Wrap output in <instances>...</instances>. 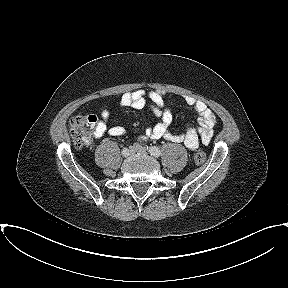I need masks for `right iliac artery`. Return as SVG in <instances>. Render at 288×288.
<instances>
[{
	"label": "right iliac artery",
	"mask_w": 288,
	"mask_h": 288,
	"mask_svg": "<svg viewBox=\"0 0 288 288\" xmlns=\"http://www.w3.org/2000/svg\"><path fill=\"white\" fill-rule=\"evenodd\" d=\"M121 155H122V156H127V155H128V150H127L126 148H123V149L121 150Z\"/></svg>",
	"instance_id": "obj_1"
}]
</instances>
